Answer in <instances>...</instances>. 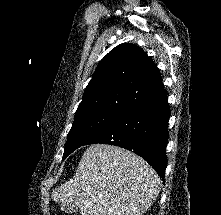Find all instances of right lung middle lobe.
Instances as JSON below:
<instances>
[{
    "mask_svg": "<svg viewBox=\"0 0 221 215\" xmlns=\"http://www.w3.org/2000/svg\"><path fill=\"white\" fill-rule=\"evenodd\" d=\"M120 117L100 111L75 113L74 123L68 133L62 159L64 160L77 148L86 145L89 140L103 132Z\"/></svg>",
    "mask_w": 221,
    "mask_h": 215,
    "instance_id": "right-lung-middle-lobe-1",
    "label": "right lung middle lobe"
}]
</instances>
